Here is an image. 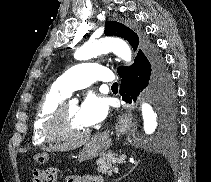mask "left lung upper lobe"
<instances>
[{
  "label": "left lung upper lobe",
  "instance_id": "1",
  "mask_svg": "<svg viewBox=\"0 0 211 182\" xmlns=\"http://www.w3.org/2000/svg\"><path fill=\"white\" fill-rule=\"evenodd\" d=\"M105 35L107 36H117L127 40L130 45L133 47L134 51L137 50L139 45V37L138 35L133 32L130 28L126 27L125 25L114 22V21H107L105 23ZM141 51V49H139ZM129 67L120 66L117 68L118 74L123 72L124 70L128 69ZM175 114V107L169 110V120H173Z\"/></svg>",
  "mask_w": 211,
  "mask_h": 182
}]
</instances>
